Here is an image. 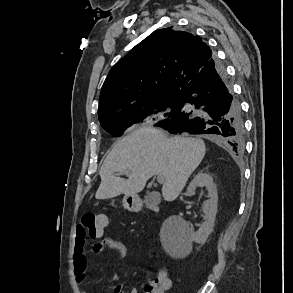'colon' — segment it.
<instances>
[{
    "mask_svg": "<svg viewBox=\"0 0 293 293\" xmlns=\"http://www.w3.org/2000/svg\"><path fill=\"white\" fill-rule=\"evenodd\" d=\"M107 225V216L104 214L86 213L82 217L81 228L86 237L98 239L102 236ZM168 277L161 272L156 278L149 280L145 285V293H166Z\"/></svg>",
    "mask_w": 293,
    "mask_h": 293,
    "instance_id": "1",
    "label": "colon"
}]
</instances>
